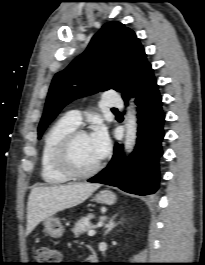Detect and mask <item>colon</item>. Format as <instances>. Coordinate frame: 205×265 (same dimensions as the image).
<instances>
[{
	"instance_id": "5ec220e1",
	"label": "colon",
	"mask_w": 205,
	"mask_h": 265,
	"mask_svg": "<svg viewBox=\"0 0 205 265\" xmlns=\"http://www.w3.org/2000/svg\"><path fill=\"white\" fill-rule=\"evenodd\" d=\"M38 265H57L59 254L56 250L47 246L39 247L35 252Z\"/></svg>"
}]
</instances>
